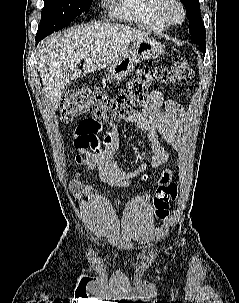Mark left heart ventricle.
I'll use <instances>...</instances> for the list:
<instances>
[{
    "instance_id": "b2bd125f",
    "label": "left heart ventricle",
    "mask_w": 239,
    "mask_h": 303,
    "mask_svg": "<svg viewBox=\"0 0 239 303\" xmlns=\"http://www.w3.org/2000/svg\"><path fill=\"white\" fill-rule=\"evenodd\" d=\"M173 14L176 15V10L175 9H173Z\"/></svg>"
}]
</instances>
